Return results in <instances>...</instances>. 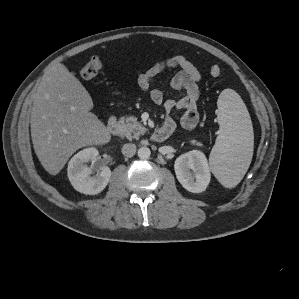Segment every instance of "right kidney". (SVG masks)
Wrapping results in <instances>:
<instances>
[{
    "mask_svg": "<svg viewBox=\"0 0 299 299\" xmlns=\"http://www.w3.org/2000/svg\"><path fill=\"white\" fill-rule=\"evenodd\" d=\"M99 151L95 147L85 148L75 154L68 163V178L75 190L86 195L100 193L109 183L111 170L102 166L99 172L91 176L93 169L87 165L95 162Z\"/></svg>",
    "mask_w": 299,
    "mask_h": 299,
    "instance_id": "right-kidney-1",
    "label": "right kidney"
}]
</instances>
